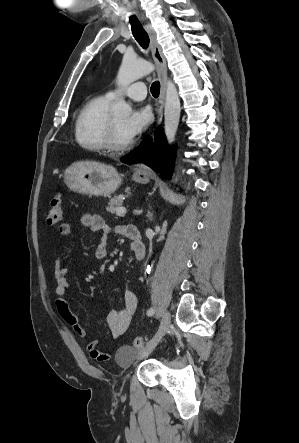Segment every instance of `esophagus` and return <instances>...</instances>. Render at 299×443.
I'll return each mask as SVG.
<instances>
[{
	"mask_svg": "<svg viewBox=\"0 0 299 443\" xmlns=\"http://www.w3.org/2000/svg\"><path fill=\"white\" fill-rule=\"evenodd\" d=\"M141 20L144 23V27L149 34L150 42H151V51L152 56L154 58V61L158 67L159 76L161 79V90H160V96L157 103L156 113H157V123H160L162 121L163 117V108L165 103V80H166V74H167V66H166V59L163 55L162 48L160 44L157 41L156 33L151 26V24L146 21L145 17L141 15ZM138 172H147L148 168L145 164H140L137 168Z\"/></svg>",
	"mask_w": 299,
	"mask_h": 443,
	"instance_id": "obj_1",
	"label": "esophagus"
}]
</instances>
